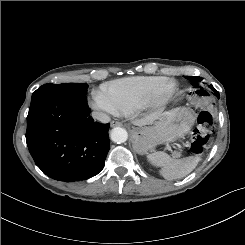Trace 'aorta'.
<instances>
[{
    "label": "aorta",
    "instance_id": "762f6f07",
    "mask_svg": "<svg viewBox=\"0 0 245 245\" xmlns=\"http://www.w3.org/2000/svg\"><path fill=\"white\" fill-rule=\"evenodd\" d=\"M111 140L115 143H123L128 138L127 131L122 127H115L111 130L110 133Z\"/></svg>",
    "mask_w": 245,
    "mask_h": 245
}]
</instances>
